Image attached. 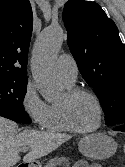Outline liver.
<instances>
[{"label": "liver", "instance_id": "6515ba94", "mask_svg": "<svg viewBox=\"0 0 125 167\" xmlns=\"http://www.w3.org/2000/svg\"><path fill=\"white\" fill-rule=\"evenodd\" d=\"M71 138L61 133L23 130L18 133L15 122L0 117V167H12L20 161L19 150L29 147L24 162H33L57 149Z\"/></svg>", "mask_w": 125, "mask_h": 167}]
</instances>
